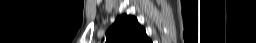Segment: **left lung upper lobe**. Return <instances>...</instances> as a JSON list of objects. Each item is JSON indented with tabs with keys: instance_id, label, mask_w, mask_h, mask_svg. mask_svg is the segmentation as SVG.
<instances>
[{
	"instance_id": "1",
	"label": "left lung upper lobe",
	"mask_w": 256,
	"mask_h": 43,
	"mask_svg": "<svg viewBox=\"0 0 256 43\" xmlns=\"http://www.w3.org/2000/svg\"><path fill=\"white\" fill-rule=\"evenodd\" d=\"M106 43H152L134 16L123 14L106 32Z\"/></svg>"
}]
</instances>
